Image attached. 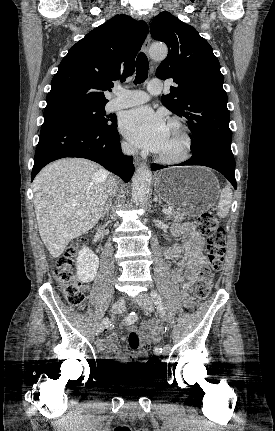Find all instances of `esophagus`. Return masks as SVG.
Masks as SVG:
<instances>
[{"label": "esophagus", "mask_w": 275, "mask_h": 431, "mask_svg": "<svg viewBox=\"0 0 275 431\" xmlns=\"http://www.w3.org/2000/svg\"><path fill=\"white\" fill-rule=\"evenodd\" d=\"M144 21L147 23V25L149 26V22H148V19L147 18H144ZM150 42H151V38H150V34L148 33L147 34V37H146V39H145V41H144V44H143V50H144V52L148 55V53H149V47H150ZM143 163V161H142V159L140 158V157H134V164H135V166H139L140 164H142Z\"/></svg>", "instance_id": "34e87169"}]
</instances>
